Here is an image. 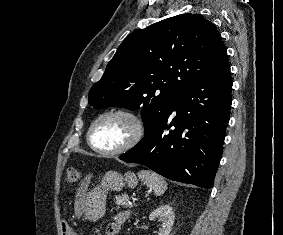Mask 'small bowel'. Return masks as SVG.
<instances>
[{
  "mask_svg": "<svg viewBox=\"0 0 283 235\" xmlns=\"http://www.w3.org/2000/svg\"><path fill=\"white\" fill-rule=\"evenodd\" d=\"M129 212L122 211L117 213L114 216V219L111 223H109L105 229L106 235H118L122 225L129 219ZM71 235H76L75 233H71Z\"/></svg>",
  "mask_w": 283,
  "mask_h": 235,
  "instance_id": "obj_1",
  "label": "small bowel"
}]
</instances>
